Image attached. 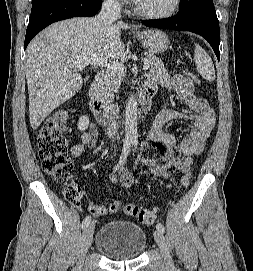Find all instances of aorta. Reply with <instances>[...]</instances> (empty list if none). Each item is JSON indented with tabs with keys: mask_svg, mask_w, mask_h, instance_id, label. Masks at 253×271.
I'll return each instance as SVG.
<instances>
[{
	"mask_svg": "<svg viewBox=\"0 0 253 271\" xmlns=\"http://www.w3.org/2000/svg\"><path fill=\"white\" fill-rule=\"evenodd\" d=\"M125 140L137 141V101L135 95L131 94L125 106Z\"/></svg>",
	"mask_w": 253,
	"mask_h": 271,
	"instance_id": "762f6f07",
	"label": "aorta"
}]
</instances>
